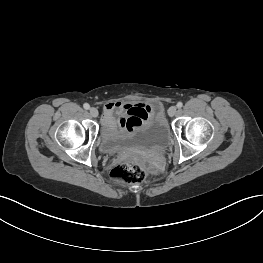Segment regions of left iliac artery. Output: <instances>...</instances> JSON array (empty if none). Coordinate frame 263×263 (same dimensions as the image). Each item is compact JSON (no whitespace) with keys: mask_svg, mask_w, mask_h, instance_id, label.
<instances>
[{"mask_svg":"<svg viewBox=\"0 0 263 263\" xmlns=\"http://www.w3.org/2000/svg\"><path fill=\"white\" fill-rule=\"evenodd\" d=\"M183 106V103L182 102H178L177 103V108H181Z\"/></svg>","mask_w":263,"mask_h":263,"instance_id":"1","label":"left iliac artery"}]
</instances>
